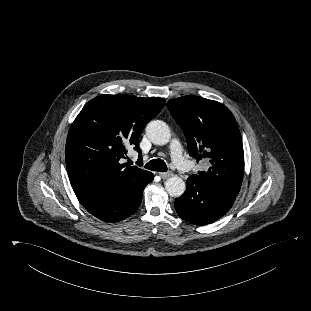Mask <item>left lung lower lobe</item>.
Here are the masks:
<instances>
[{"label": "left lung lower lobe", "mask_w": 311, "mask_h": 311, "mask_svg": "<svg viewBox=\"0 0 311 311\" xmlns=\"http://www.w3.org/2000/svg\"><path fill=\"white\" fill-rule=\"evenodd\" d=\"M235 198L197 175H191L186 182V191L175 200V209L187 222L206 225L221 218L232 207Z\"/></svg>", "instance_id": "obj_1"}]
</instances>
